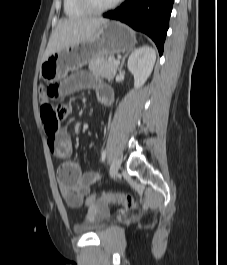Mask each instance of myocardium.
Wrapping results in <instances>:
<instances>
[{
	"label": "myocardium",
	"instance_id": "f54148a6",
	"mask_svg": "<svg viewBox=\"0 0 227 265\" xmlns=\"http://www.w3.org/2000/svg\"><path fill=\"white\" fill-rule=\"evenodd\" d=\"M122 0H114L110 4L102 7L94 6L90 0H77L79 6L83 8L88 13L100 14L107 12L115 8Z\"/></svg>",
	"mask_w": 227,
	"mask_h": 265
}]
</instances>
